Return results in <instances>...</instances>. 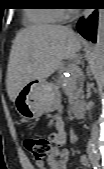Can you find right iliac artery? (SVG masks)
Returning <instances> with one entry per match:
<instances>
[{
  "mask_svg": "<svg viewBox=\"0 0 104 169\" xmlns=\"http://www.w3.org/2000/svg\"><path fill=\"white\" fill-rule=\"evenodd\" d=\"M87 153H88V156H89V159L91 161V163L93 164L94 166V169H97L98 167V160L96 158V150H95V147H94V144L92 143V141H89L88 143V146H87Z\"/></svg>",
  "mask_w": 104,
  "mask_h": 169,
  "instance_id": "right-iliac-artery-1",
  "label": "right iliac artery"
}]
</instances>
